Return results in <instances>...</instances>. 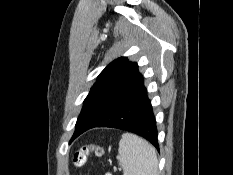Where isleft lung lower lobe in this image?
Here are the masks:
<instances>
[{"mask_svg": "<svg viewBox=\"0 0 233 175\" xmlns=\"http://www.w3.org/2000/svg\"><path fill=\"white\" fill-rule=\"evenodd\" d=\"M143 81V77L139 78L103 116L83 132L94 127L127 130L144 137L159 149L155 117Z\"/></svg>", "mask_w": 233, "mask_h": 175, "instance_id": "0a47b994", "label": "left lung lower lobe"}]
</instances>
